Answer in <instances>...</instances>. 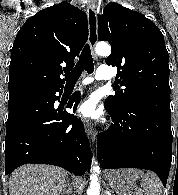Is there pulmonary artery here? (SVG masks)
<instances>
[{
    "label": "pulmonary artery",
    "mask_w": 178,
    "mask_h": 195,
    "mask_svg": "<svg viewBox=\"0 0 178 195\" xmlns=\"http://www.w3.org/2000/svg\"><path fill=\"white\" fill-rule=\"evenodd\" d=\"M96 78L99 80H110L112 78L111 75V68L109 66L106 65H101L99 66L97 73H96ZM92 82V78H85L81 83L80 86L81 87H85L88 86L90 83Z\"/></svg>",
    "instance_id": "obj_1"
}]
</instances>
